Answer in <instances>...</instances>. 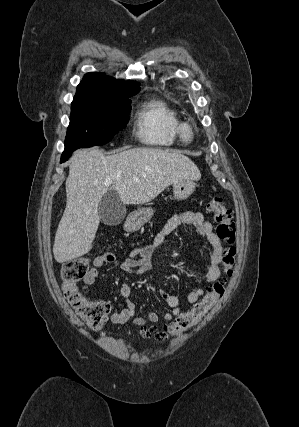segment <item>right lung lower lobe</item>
<instances>
[{"label": "right lung lower lobe", "mask_w": 299, "mask_h": 427, "mask_svg": "<svg viewBox=\"0 0 299 427\" xmlns=\"http://www.w3.org/2000/svg\"><path fill=\"white\" fill-rule=\"evenodd\" d=\"M71 154H72V152L62 153L61 161H60V162L62 163V162L67 161V160H68V158L71 156Z\"/></svg>", "instance_id": "obj_1"}]
</instances>
